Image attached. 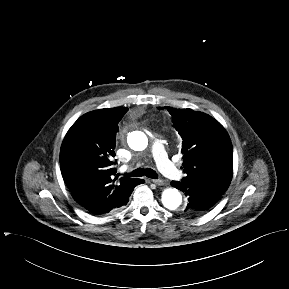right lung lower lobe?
Wrapping results in <instances>:
<instances>
[{
  "mask_svg": "<svg viewBox=\"0 0 289 289\" xmlns=\"http://www.w3.org/2000/svg\"><path fill=\"white\" fill-rule=\"evenodd\" d=\"M143 182H144V181L140 179V182H139V184H141V183H143Z\"/></svg>",
  "mask_w": 289,
  "mask_h": 289,
  "instance_id": "right-lung-lower-lobe-1",
  "label": "right lung lower lobe"
}]
</instances>
